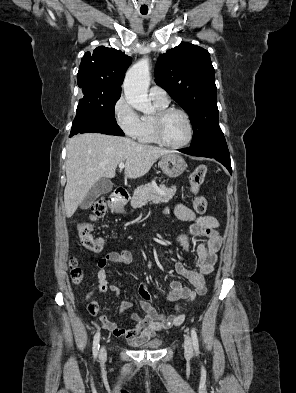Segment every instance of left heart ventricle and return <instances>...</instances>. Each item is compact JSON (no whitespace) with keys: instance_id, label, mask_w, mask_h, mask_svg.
<instances>
[{"instance_id":"left-heart-ventricle-1","label":"left heart ventricle","mask_w":296,"mask_h":393,"mask_svg":"<svg viewBox=\"0 0 296 393\" xmlns=\"http://www.w3.org/2000/svg\"><path fill=\"white\" fill-rule=\"evenodd\" d=\"M164 139L171 144H179L188 136V125L184 117L173 113L169 115L163 125Z\"/></svg>"}]
</instances>
